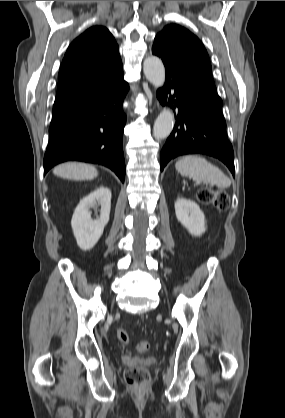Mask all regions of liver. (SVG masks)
Segmentation results:
<instances>
[{
  "label": "liver",
  "mask_w": 285,
  "mask_h": 418,
  "mask_svg": "<svg viewBox=\"0 0 285 418\" xmlns=\"http://www.w3.org/2000/svg\"><path fill=\"white\" fill-rule=\"evenodd\" d=\"M53 173L70 180H92L98 176L95 167L83 163H65L54 168Z\"/></svg>",
  "instance_id": "liver-1"
}]
</instances>
